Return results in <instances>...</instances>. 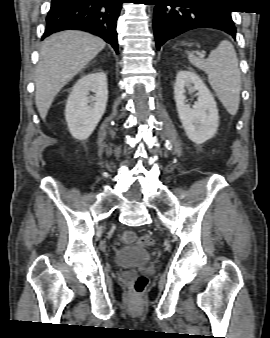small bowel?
Returning a JSON list of instances; mask_svg holds the SVG:
<instances>
[{
	"mask_svg": "<svg viewBox=\"0 0 270 338\" xmlns=\"http://www.w3.org/2000/svg\"><path fill=\"white\" fill-rule=\"evenodd\" d=\"M122 237H123V238L131 237V234H129V233H124V234L122 235Z\"/></svg>",
	"mask_w": 270,
	"mask_h": 338,
	"instance_id": "1",
	"label": "small bowel"
}]
</instances>
